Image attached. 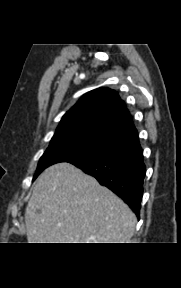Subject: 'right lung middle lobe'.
Segmentation results:
<instances>
[{
	"instance_id": "1",
	"label": "right lung middle lobe",
	"mask_w": 181,
	"mask_h": 288,
	"mask_svg": "<svg viewBox=\"0 0 181 288\" xmlns=\"http://www.w3.org/2000/svg\"><path fill=\"white\" fill-rule=\"evenodd\" d=\"M109 151L82 139H63L50 142L49 147L39 160L33 180L47 167L59 162H72L78 159L102 157Z\"/></svg>"
}]
</instances>
